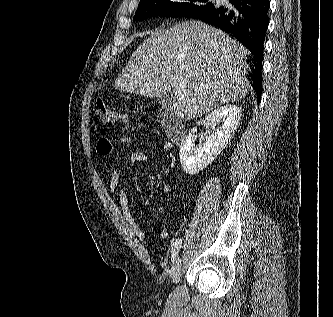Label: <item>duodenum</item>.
I'll use <instances>...</instances> for the list:
<instances>
[{
  "label": "duodenum",
  "mask_w": 333,
  "mask_h": 317,
  "mask_svg": "<svg viewBox=\"0 0 333 317\" xmlns=\"http://www.w3.org/2000/svg\"><path fill=\"white\" fill-rule=\"evenodd\" d=\"M161 125L171 142L180 144L186 135L185 127L172 112L170 107H162L160 110Z\"/></svg>",
  "instance_id": "1"
}]
</instances>
